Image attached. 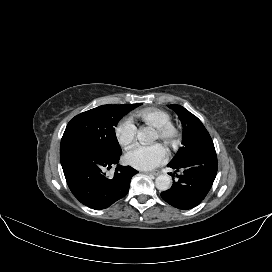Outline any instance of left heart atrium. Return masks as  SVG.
Returning a JSON list of instances; mask_svg holds the SVG:
<instances>
[{"label":"left heart atrium","instance_id":"obj_1","mask_svg":"<svg viewBox=\"0 0 272 272\" xmlns=\"http://www.w3.org/2000/svg\"><path fill=\"white\" fill-rule=\"evenodd\" d=\"M164 147L155 143L149 146H136L126 154V161L134 168L151 170L159 166L166 159Z\"/></svg>","mask_w":272,"mask_h":272}]
</instances>
